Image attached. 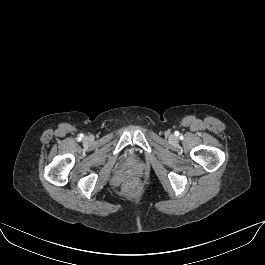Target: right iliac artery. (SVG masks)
I'll list each match as a JSON object with an SVG mask.
<instances>
[{
    "instance_id": "1",
    "label": "right iliac artery",
    "mask_w": 265,
    "mask_h": 265,
    "mask_svg": "<svg viewBox=\"0 0 265 265\" xmlns=\"http://www.w3.org/2000/svg\"><path fill=\"white\" fill-rule=\"evenodd\" d=\"M83 137V135H80V138H82Z\"/></svg>"
}]
</instances>
